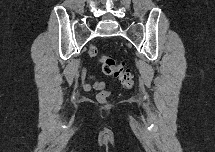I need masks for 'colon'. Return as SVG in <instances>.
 <instances>
[{
	"label": "colon",
	"instance_id": "colon-1",
	"mask_svg": "<svg viewBox=\"0 0 215 152\" xmlns=\"http://www.w3.org/2000/svg\"><path fill=\"white\" fill-rule=\"evenodd\" d=\"M88 53L92 58L98 57V62L101 65L102 70L105 74L112 75L115 78H117L125 89L133 88L134 86L133 76L130 73V71L125 68L124 65L117 64L108 55H98V49L94 45L89 47ZM108 97H109L108 91H101L97 95V99L100 102H105Z\"/></svg>",
	"mask_w": 215,
	"mask_h": 152
}]
</instances>
